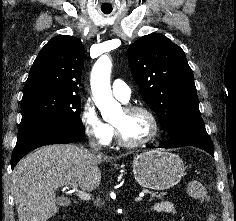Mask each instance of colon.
Returning a JSON list of instances; mask_svg holds the SVG:
<instances>
[{"instance_id": "obj_1", "label": "colon", "mask_w": 236, "mask_h": 221, "mask_svg": "<svg viewBox=\"0 0 236 221\" xmlns=\"http://www.w3.org/2000/svg\"><path fill=\"white\" fill-rule=\"evenodd\" d=\"M188 192L192 198L203 204H206L210 201L209 193L204 184L200 181H191L188 184ZM207 221H216V219L213 215L210 214L207 217Z\"/></svg>"}]
</instances>
